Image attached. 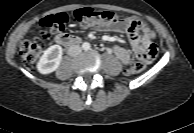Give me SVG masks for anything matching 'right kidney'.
<instances>
[{"instance_id":"1","label":"right kidney","mask_w":194,"mask_h":133,"mask_svg":"<svg viewBox=\"0 0 194 133\" xmlns=\"http://www.w3.org/2000/svg\"><path fill=\"white\" fill-rule=\"evenodd\" d=\"M63 50L59 45L50 46L40 57L37 63V70L41 74H50L60 65Z\"/></svg>"}]
</instances>
